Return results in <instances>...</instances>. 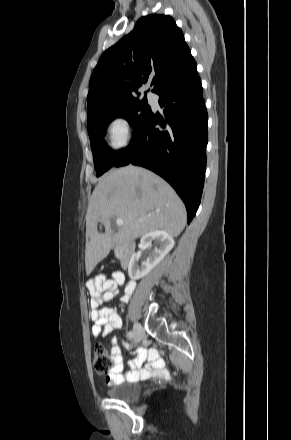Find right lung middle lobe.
<instances>
[{"label":"right lung middle lobe","instance_id":"obj_1","mask_svg":"<svg viewBox=\"0 0 291 440\" xmlns=\"http://www.w3.org/2000/svg\"><path fill=\"white\" fill-rule=\"evenodd\" d=\"M151 107L147 98L131 97L129 99L102 104L88 111L87 129L91 142L96 176L114 166L121 151H112L104 141L107 125L116 117L125 118L134 131L141 125Z\"/></svg>","mask_w":291,"mask_h":440}]
</instances>
